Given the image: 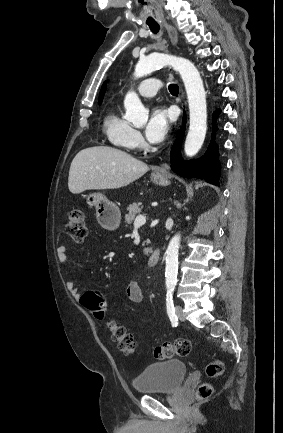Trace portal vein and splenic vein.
Masks as SVG:
<instances>
[{"mask_svg": "<svg viewBox=\"0 0 283 433\" xmlns=\"http://www.w3.org/2000/svg\"><path fill=\"white\" fill-rule=\"evenodd\" d=\"M146 223V217H143V214H138L134 221V225H144Z\"/></svg>", "mask_w": 283, "mask_h": 433, "instance_id": "portal-vein-and-splenic-vein-1", "label": "portal vein and splenic vein"}]
</instances>
